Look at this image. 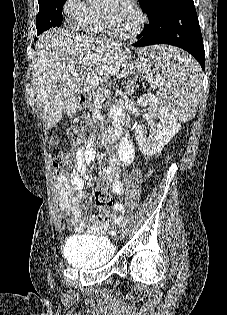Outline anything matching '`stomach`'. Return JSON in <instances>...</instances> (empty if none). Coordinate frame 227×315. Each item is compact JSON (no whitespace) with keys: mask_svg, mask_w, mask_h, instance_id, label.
<instances>
[{"mask_svg":"<svg viewBox=\"0 0 227 315\" xmlns=\"http://www.w3.org/2000/svg\"><path fill=\"white\" fill-rule=\"evenodd\" d=\"M120 67V62L117 63L114 67V69H118ZM104 73V70L102 68H99L97 71H92L91 76L92 78H99ZM84 96L87 95V99L89 100L88 92H87V86L84 87Z\"/></svg>","mask_w":227,"mask_h":315,"instance_id":"stomach-1","label":"stomach"}]
</instances>
